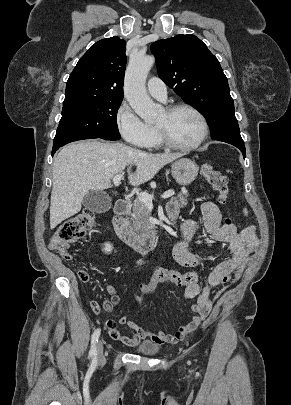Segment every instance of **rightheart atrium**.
Wrapping results in <instances>:
<instances>
[{"label": "right heart atrium", "instance_id": "1", "mask_svg": "<svg viewBox=\"0 0 291 405\" xmlns=\"http://www.w3.org/2000/svg\"><path fill=\"white\" fill-rule=\"evenodd\" d=\"M115 121L124 140L137 147H148L154 136V129L143 122L127 103L123 102L118 107Z\"/></svg>", "mask_w": 291, "mask_h": 405}]
</instances>
